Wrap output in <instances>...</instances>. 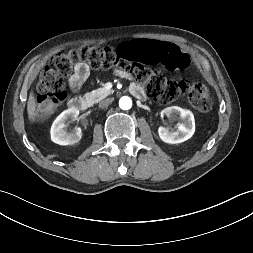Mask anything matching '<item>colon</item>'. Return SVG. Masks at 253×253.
I'll use <instances>...</instances> for the list:
<instances>
[{
    "label": "colon",
    "instance_id": "1",
    "mask_svg": "<svg viewBox=\"0 0 253 253\" xmlns=\"http://www.w3.org/2000/svg\"><path fill=\"white\" fill-rule=\"evenodd\" d=\"M77 63L92 68L118 67L132 75L147 93L168 104L185 95L192 108L207 112L212 98L207 87L199 81L168 79L164 74L140 65L173 70L178 75L187 74L192 68L189 54L169 41L145 38L141 41L125 40L118 48L109 46H82L53 56L40 76L37 96V117L45 118L66 98L64 79Z\"/></svg>",
    "mask_w": 253,
    "mask_h": 253
}]
</instances>
